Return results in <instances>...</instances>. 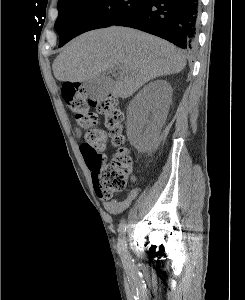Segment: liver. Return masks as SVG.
Returning <instances> with one entry per match:
<instances>
[{
	"instance_id": "1",
	"label": "liver",
	"mask_w": 245,
	"mask_h": 300,
	"mask_svg": "<svg viewBox=\"0 0 245 300\" xmlns=\"http://www.w3.org/2000/svg\"><path fill=\"white\" fill-rule=\"evenodd\" d=\"M186 56L171 43L135 29L109 27L82 34L68 43L53 62L55 78L86 82L118 69L111 94L132 96L148 81L184 69Z\"/></svg>"
}]
</instances>
